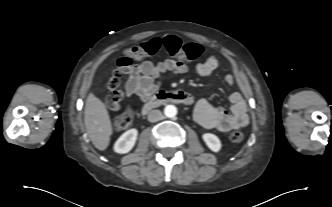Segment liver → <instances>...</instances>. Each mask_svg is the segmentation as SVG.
I'll use <instances>...</instances> for the list:
<instances>
[{
	"mask_svg": "<svg viewBox=\"0 0 332 207\" xmlns=\"http://www.w3.org/2000/svg\"><path fill=\"white\" fill-rule=\"evenodd\" d=\"M86 131L98 150H105L112 135V125L106 105L93 93H89L84 112Z\"/></svg>",
	"mask_w": 332,
	"mask_h": 207,
	"instance_id": "1",
	"label": "liver"
}]
</instances>
